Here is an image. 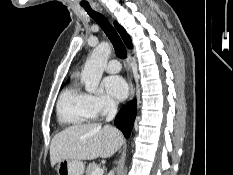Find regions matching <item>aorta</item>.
<instances>
[{"label":"aorta","instance_id":"762f6f07","mask_svg":"<svg viewBox=\"0 0 233 175\" xmlns=\"http://www.w3.org/2000/svg\"><path fill=\"white\" fill-rule=\"evenodd\" d=\"M110 53V45L103 42L93 50L87 59L81 74V81L84 82L87 92H95L97 90Z\"/></svg>","mask_w":233,"mask_h":175}]
</instances>
